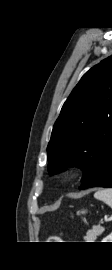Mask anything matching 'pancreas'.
Masks as SVG:
<instances>
[{
  "label": "pancreas",
  "mask_w": 112,
  "mask_h": 270,
  "mask_svg": "<svg viewBox=\"0 0 112 270\" xmlns=\"http://www.w3.org/2000/svg\"><path fill=\"white\" fill-rule=\"evenodd\" d=\"M104 227L95 226L92 229L88 230L86 236L84 237L86 242H94L99 235L104 232Z\"/></svg>",
  "instance_id": "cf45deb5"
}]
</instances>
